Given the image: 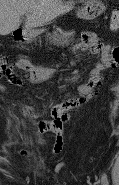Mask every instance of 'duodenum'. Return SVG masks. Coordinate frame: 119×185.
Returning <instances> with one entry per match:
<instances>
[{"instance_id":"410a0bca","label":"duodenum","mask_w":119,"mask_h":185,"mask_svg":"<svg viewBox=\"0 0 119 185\" xmlns=\"http://www.w3.org/2000/svg\"><path fill=\"white\" fill-rule=\"evenodd\" d=\"M19 39L22 38V33L19 32V34L17 35Z\"/></svg>"}]
</instances>
